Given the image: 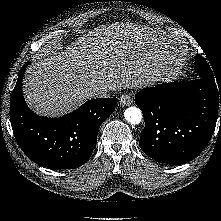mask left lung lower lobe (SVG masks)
I'll return each instance as SVG.
<instances>
[{"mask_svg":"<svg viewBox=\"0 0 221 221\" xmlns=\"http://www.w3.org/2000/svg\"><path fill=\"white\" fill-rule=\"evenodd\" d=\"M135 103L145 119L141 149L159 163L179 165L196 158L210 141L221 86L205 78L165 83L142 89Z\"/></svg>","mask_w":221,"mask_h":221,"instance_id":"0a47b994","label":"left lung lower lobe"}]
</instances>
